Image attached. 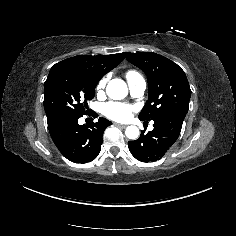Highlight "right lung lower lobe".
<instances>
[{
    "label": "right lung lower lobe",
    "instance_id": "obj_1",
    "mask_svg": "<svg viewBox=\"0 0 236 236\" xmlns=\"http://www.w3.org/2000/svg\"><path fill=\"white\" fill-rule=\"evenodd\" d=\"M87 114L94 118L98 116L93 111ZM79 118L62 117L47 123L51 138L61 154L72 162L86 163L98 156L103 132L112 123L105 118H99L87 127L78 124Z\"/></svg>",
    "mask_w": 236,
    "mask_h": 236
}]
</instances>
